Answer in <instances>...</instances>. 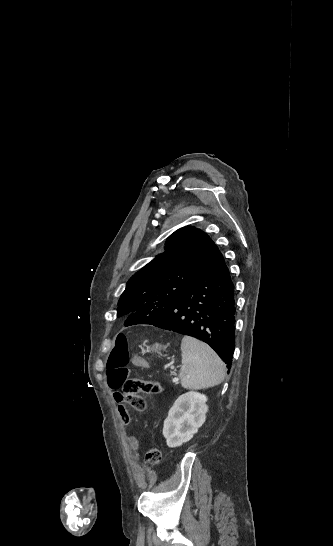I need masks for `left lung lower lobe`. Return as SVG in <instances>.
I'll use <instances>...</instances> for the list:
<instances>
[{
    "instance_id": "obj_1",
    "label": "left lung lower lobe",
    "mask_w": 333,
    "mask_h": 546,
    "mask_svg": "<svg viewBox=\"0 0 333 546\" xmlns=\"http://www.w3.org/2000/svg\"><path fill=\"white\" fill-rule=\"evenodd\" d=\"M234 285L218 247L213 250L188 289L153 323H144L135 312L125 326L151 324L206 342L230 369L235 348Z\"/></svg>"
}]
</instances>
